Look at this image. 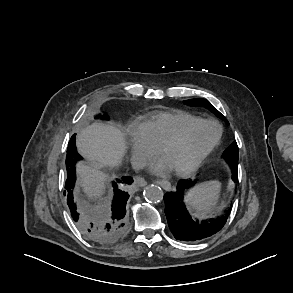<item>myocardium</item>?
Returning <instances> with one entry per match:
<instances>
[{"instance_id": "myocardium-1", "label": "myocardium", "mask_w": 293, "mask_h": 293, "mask_svg": "<svg viewBox=\"0 0 293 293\" xmlns=\"http://www.w3.org/2000/svg\"><path fill=\"white\" fill-rule=\"evenodd\" d=\"M201 124H208V125H214L217 127V135L213 139V141L208 145V147L189 165H187L184 168L180 169H175L174 173L177 176H188L192 173H194L202 164L203 162L207 159V157L214 151V149L218 146L221 137H222V127L219 123L213 120H208V119H198L193 122H190L189 124L185 125L174 137L171 139L165 141L162 143L159 147L158 150L160 153H163L169 148H172L178 144H180L188 131L192 129L193 127Z\"/></svg>"}]
</instances>
